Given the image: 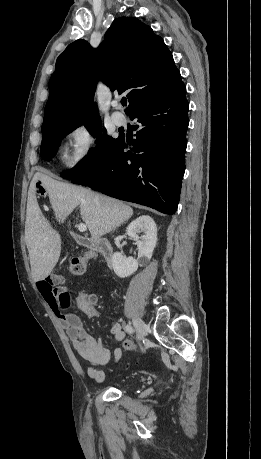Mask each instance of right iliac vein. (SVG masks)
Wrapping results in <instances>:
<instances>
[{
	"label": "right iliac vein",
	"instance_id": "1",
	"mask_svg": "<svg viewBox=\"0 0 261 459\" xmlns=\"http://www.w3.org/2000/svg\"><path fill=\"white\" fill-rule=\"evenodd\" d=\"M133 324L137 331L138 339L140 341L143 340L148 330L147 325L140 318H134Z\"/></svg>",
	"mask_w": 261,
	"mask_h": 459
}]
</instances>
